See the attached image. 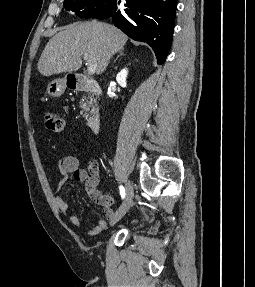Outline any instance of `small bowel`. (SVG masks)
Returning <instances> with one entry per match:
<instances>
[{"label":"small bowel","mask_w":255,"mask_h":287,"mask_svg":"<svg viewBox=\"0 0 255 287\" xmlns=\"http://www.w3.org/2000/svg\"><path fill=\"white\" fill-rule=\"evenodd\" d=\"M58 169L62 175V179L58 182L57 191L54 195V201L59 212L67 217L73 227H78L80 221L77 216L70 213L67 202L59 194V190L65 185L69 177H73L76 182L84 184L90 198L101 206L102 215L105 219L112 217L113 200L110 196L104 195L97 189L99 179L97 170L94 165H91L87 171L80 167L79 161L76 157L65 156L60 160ZM105 219H99L96 224L87 232V234L94 236L103 231L106 228Z\"/></svg>","instance_id":"c3829d8e"}]
</instances>
